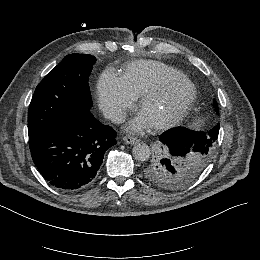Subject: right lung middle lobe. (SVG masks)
Segmentation results:
<instances>
[{
    "label": "right lung middle lobe",
    "instance_id": "dd1d6c3e",
    "mask_svg": "<svg viewBox=\"0 0 260 260\" xmlns=\"http://www.w3.org/2000/svg\"><path fill=\"white\" fill-rule=\"evenodd\" d=\"M95 62L92 55H67L38 84L28 111L29 140L90 110L88 81Z\"/></svg>",
    "mask_w": 260,
    "mask_h": 260
}]
</instances>
